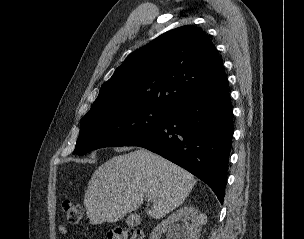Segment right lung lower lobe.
Here are the masks:
<instances>
[{"label": "right lung lower lobe", "instance_id": "1", "mask_svg": "<svg viewBox=\"0 0 304 239\" xmlns=\"http://www.w3.org/2000/svg\"><path fill=\"white\" fill-rule=\"evenodd\" d=\"M234 132L223 78L213 88L171 109L161 125L126 146L146 148L204 181L223 204Z\"/></svg>", "mask_w": 304, "mask_h": 239}]
</instances>
